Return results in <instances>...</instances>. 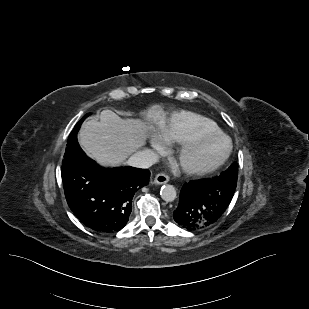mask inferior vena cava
<instances>
[{
	"mask_svg": "<svg viewBox=\"0 0 309 309\" xmlns=\"http://www.w3.org/2000/svg\"><path fill=\"white\" fill-rule=\"evenodd\" d=\"M157 161V155L151 150L138 151L128 158L126 163L133 167L149 168Z\"/></svg>",
	"mask_w": 309,
	"mask_h": 309,
	"instance_id": "obj_1",
	"label": "inferior vena cava"
}]
</instances>
